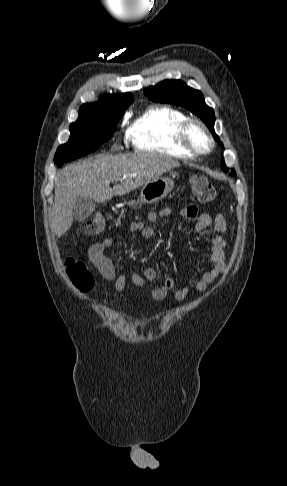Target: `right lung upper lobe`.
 I'll use <instances>...</instances> for the list:
<instances>
[{
	"label": "right lung upper lobe",
	"mask_w": 287,
	"mask_h": 486,
	"mask_svg": "<svg viewBox=\"0 0 287 486\" xmlns=\"http://www.w3.org/2000/svg\"><path fill=\"white\" fill-rule=\"evenodd\" d=\"M133 100L134 98L130 93L107 94L101 96L97 102L83 104L79 111L97 109L110 113H124Z\"/></svg>",
	"instance_id": "right-lung-upper-lobe-1"
}]
</instances>
